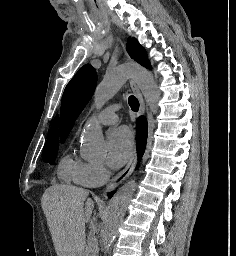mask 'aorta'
<instances>
[{
    "mask_svg": "<svg viewBox=\"0 0 236 256\" xmlns=\"http://www.w3.org/2000/svg\"><path fill=\"white\" fill-rule=\"evenodd\" d=\"M133 79L141 90L151 112L154 114L158 110L160 99L159 90L153 76L144 68L137 65H121L115 70L106 74L94 92V105L100 109L110 98H112L123 84L129 79ZM84 143L96 152L104 149L103 135L101 127L96 117L91 118L84 126L82 133ZM136 189L133 180L124 184L110 200L106 220L102 231L103 251L106 254L111 247L117 234L118 227L122 221L128 203Z\"/></svg>",
    "mask_w": 236,
    "mask_h": 256,
    "instance_id": "obj_1",
    "label": "aorta"
}]
</instances>
